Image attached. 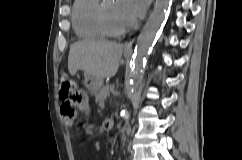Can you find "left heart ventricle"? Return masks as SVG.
Instances as JSON below:
<instances>
[{
  "label": "left heart ventricle",
  "mask_w": 242,
  "mask_h": 160,
  "mask_svg": "<svg viewBox=\"0 0 242 160\" xmlns=\"http://www.w3.org/2000/svg\"><path fill=\"white\" fill-rule=\"evenodd\" d=\"M103 10L106 23L111 29L121 30L127 27L116 0H105L103 2Z\"/></svg>",
  "instance_id": "left-heart-ventricle-1"
}]
</instances>
